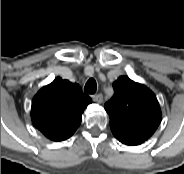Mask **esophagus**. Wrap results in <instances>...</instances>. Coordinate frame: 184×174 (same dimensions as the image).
Segmentation results:
<instances>
[{
	"mask_svg": "<svg viewBox=\"0 0 184 174\" xmlns=\"http://www.w3.org/2000/svg\"><path fill=\"white\" fill-rule=\"evenodd\" d=\"M92 100L94 102H97V103H102L103 102V95L101 93L100 94L93 95L92 96Z\"/></svg>",
	"mask_w": 184,
	"mask_h": 174,
	"instance_id": "1",
	"label": "esophagus"
}]
</instances>
